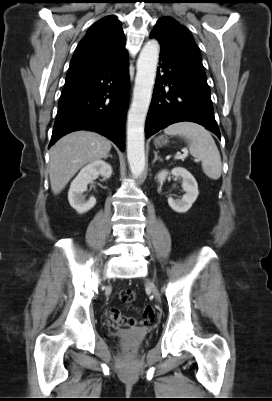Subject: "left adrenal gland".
<instances>
[{"instance_id":"a2214340","label":"left adrenal gland","mask_w":272,"mask_h":401,"mask_svg":"<svg viewBox=\"0 0 272 401\" xmlns=\"http://www.w3.org/2000/svg\"><path fill=\"white\" fill-rule=\"evenodd\" d=\"M157 160L162 161V159L158 156V153L154 151V160L152 161V163L154 164Z\"/></svg>"}]
</instances>
